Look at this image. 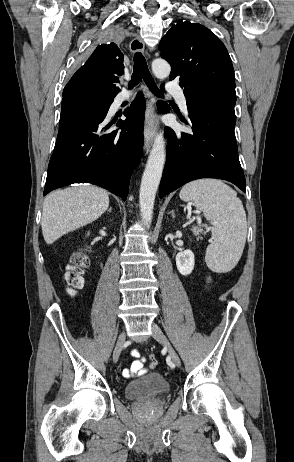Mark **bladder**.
Listing matches in <instances>:
<instances>
[{"label":"bladder","instance_id":"31cf9c89","mask_svg":"<svg viewBox=\"0 0 294 462\" xmlns=\"http://www.w3.org/2000/svg\"><path fill=\"white\" fill-rule=\"evenodd\" d=\"M169 392L170 383L157 373L145 375L128 383L124 388L125 396L131 400L149 399Z\"/></svg>","mask_w":294,"mask_h":462}]
</instances>
